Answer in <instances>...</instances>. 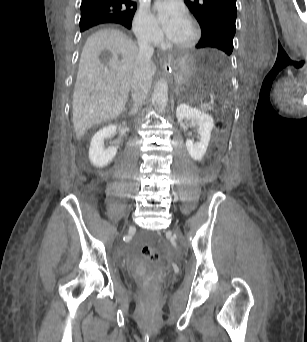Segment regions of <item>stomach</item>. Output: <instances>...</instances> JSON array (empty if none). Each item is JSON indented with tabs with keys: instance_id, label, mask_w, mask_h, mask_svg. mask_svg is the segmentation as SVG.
<instances>
[{
	"instance_id": "1",
	"label": "stomach",
	"mask_w": 307,
	"mask_h": 342,
	"mask_svg": "<svg viewBox=\"0 0 307 342\" xmlns=\"http://www.w3.org/2000/svg\"><path fill=\"white\" fill-rule=\"evenodd\" d=\"M166 70L174 75L179 91L187 93L193 90V75L196 70L194 57L189 55L176 57L168 63Z\"/></svg>"
}]
</instances>
